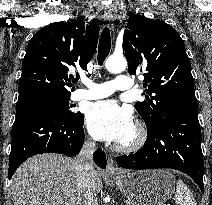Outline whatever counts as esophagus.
<instances>
[{
  "label": "esophagus",
  "mask_w": 212,
  "mask_h": 205,
  "mask_svg": "<svg viewBox=\"0 0 212 205\" xmlns=\"http://www.w3.org/2000/svg\"><path fill=\"white\" fill-rule=\"evenodd\" d=\"M103 17H104V20L106 21L107 25L109 26V28L111 30H113L114 29V23H113L114 16H113L111 9L105 8ZM106 172L110 175H116V174L120 173L118 168L115 166V161L112 156H110L108 159Z\"/></svg>",
  "instance_id": "obj_1"
}]
</instances>
